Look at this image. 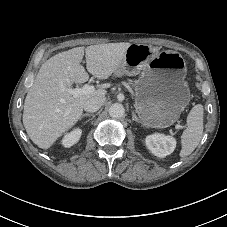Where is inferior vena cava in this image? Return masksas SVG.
<instances>
[{
    "label": "inferior vena cava",
    "mask_w": 227,
    "mask_h": 227,
    "mask_svg": "<svg viewBox=\"0 0 227 227\" xmlns=\"http://www.w3.org/2000/svg\"><path fill=\"white\" fill-rule=\"evenodd\" d=\"M105 97H93L87 100L84 104V110L87 112H96L105 102Z\"/></svg>",
    "instance_id": "inferior-vena-cava-1"
}]
</instances>
